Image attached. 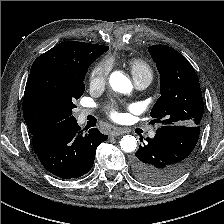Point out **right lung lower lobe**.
Here are the masks:
<instances>
[{"mask_svg": "<svg viewBox=\"0 0 224 224\" xmlns=\"http://www.w3.org/2000/svg\"><path fill=\"white\" fill-rule=\"evenodd\" d=\"M80 129L75 120L60 122L32 134V145L46 170L62 179H73L92 168L96 149L108 135L97 128L86 134Z\"/></svg>", "mask_w": 224, "mask_h": 224, "instance_id": "1", "label": "right lung lower lobe"}]
</instances>
